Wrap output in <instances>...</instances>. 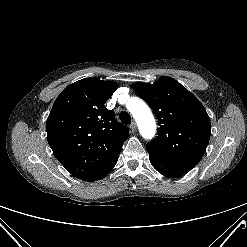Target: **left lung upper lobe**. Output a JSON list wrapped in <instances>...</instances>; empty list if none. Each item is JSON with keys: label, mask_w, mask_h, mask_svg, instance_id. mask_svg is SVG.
I'll return each mask as SVG.
<instances>
[{"label": "left lung upper lobe", "mask_w": 247, "mask_h": 247, "mask_svg": "<svg viewBox=\"0 0 247 247\" xmlns=\"http://www.w3.org/2000/svg\"><path fill=\"white\" fill-rule=\"evenodd\" d=\"M132 87L149 103L160 126L147 149L175 161L198 164L211 135V123L200 101L167 76L153 84L134 83Z\"/></svg>", "instance_id": "left-lung-upper-lobe-1"}]
</instances>
